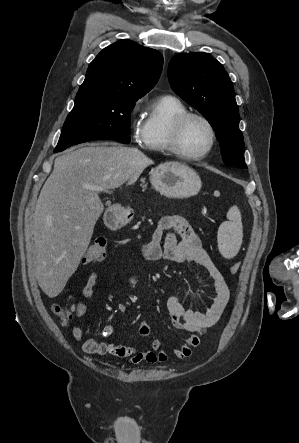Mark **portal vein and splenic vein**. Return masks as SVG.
I'll use <instances>...</instances> for the list:
<instances>
[{
	"label": "portal vein and splenic vein",
	"mask_w": 299,
	"mask_h": 443,
	"mask_svg": "<svg viewBox=\"0 0 299 443\" xmlns=\"http://www.w3.org/2000/svg\"><path fill=\"white\" fill-rule=\"evenodd\" d=\"M87 189H92V190H96V191H102V188L99 187H92V186H86Z\"/></svg>",
	"instance_id": "portal-vein-and-splenic-vein-1"
}]
</instances>
